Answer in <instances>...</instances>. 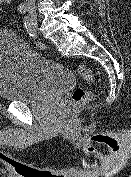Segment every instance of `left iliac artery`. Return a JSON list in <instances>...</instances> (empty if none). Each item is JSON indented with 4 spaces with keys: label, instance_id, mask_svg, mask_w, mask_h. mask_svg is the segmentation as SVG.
<instances>
[{
    "label": "left iliac artery",
    "instance_id": "1",
    "mask_svg": "<svg viewBox=\"0 0 131 177\" xmlns=\"http://www.w3.org/2000/svg\"><path fill=\"white\" fill-rule=\"evenodd\" d=\"M24 25H25V28H26L29 36L35 37L36 31H35L32 21L30 20V18L28 16H25V18H24Z\"/></svg>",
    "mask_w": 131,
    "mask_h": 177
}]
</instances>
